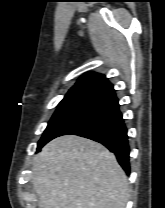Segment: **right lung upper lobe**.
I'll return each mask as SVG.
<instances>
[{
    "mask_svg": "<svg viewBox=\"0 0 165 208\" xmlns=\"http://www.w3.org/2000/svg\"><path fill=\"white\" fill-rule=\"evenodd\" d=\"M113 96H115V90L107 78L102 74L89 72L78 79L58 106H88L93 108Z\"/></svg>",
    "mask_w": 165,
    "mask_h": 208,
    "instance_id": "cb5924a9",
    "label": "right lung upper lobe"
}]
</instances>
